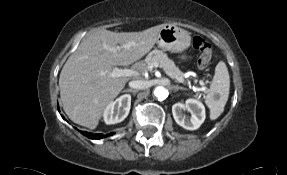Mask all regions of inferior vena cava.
<instances>
[{
    "instance_id": "obj_1",
    "label": "inferior vena cava",
    "mask_w": 287,
    "mask_h": 175,
    "mask_svg": "<svg viewBox=\"0 0 287 175\" xmlns=\"http://www.w3.org/2000/svg\"><path fill=\"white\" fill-rule=\"evenodd\" d=\"M129 86L134 89H146L149 87V84L147 81L135 80V81L129 82Z\"/></svg>"
}]
</instances>
